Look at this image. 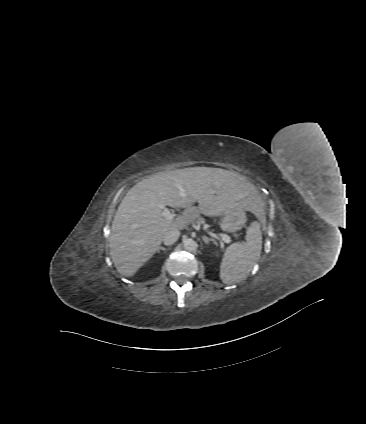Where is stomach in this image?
I'll use <instances>...</instances> for the list:
<instances>
[{"label": "stomach", "mask_w": 366, "mask_h": 424, "mask_svg": "<svg viewBox=\"0 0 366 424\" xmlns=\"http://www.w3.org/2000/svg\"><path fill=\"white\" fill-rule=\"evenodd\" d=\"M245 219L246 216L243 210L226 213L220 223L221 230L224 232H235L241 229Z\"/></svg>", "instance_id": "1"}]
</instances>
